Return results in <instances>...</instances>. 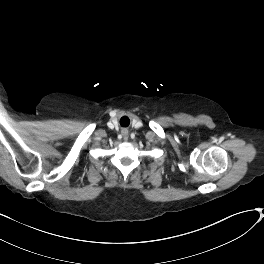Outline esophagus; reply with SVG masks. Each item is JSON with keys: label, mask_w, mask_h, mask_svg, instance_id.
<instances>
[{"label": "esophagus", "mask_w": 264, "mask_h": 264, "mask_svg": "<svg viewBox=\"0 0 264 264\" xmlns=\"http://www.w3.org/2000/svg\"><path fill=\"white\" fill-rule=\"evenodd\" d=\"M123 138H124L125 140L128 139V132H126L125 134H123Z\"/></svg>", "instance_id": "esophagus-1"}]
</instances>
